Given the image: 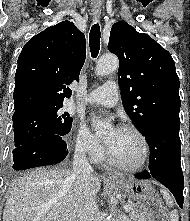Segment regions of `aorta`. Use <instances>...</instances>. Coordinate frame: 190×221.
<instances>
[{
	"label": "aorta",
	"instance_id": "obj_1",
	"mask_svg": "<svg viewBox=\"0 0 190 221\" xmlns=\"http://www.w3.org/2000/svg\"><path fill=\"white\" fill-rule=\"evenodd\" d=\"M119 67V61L118 58L114 55H106L103 56L99 59L96 68H95V73L97 75H108L114 71H116ZM93 126L95 128V131L97 134H101L103 132H105L106 129L109 128V124L108 123H103L101 121H93ZM115 198L114 197H110L108 200L109 203V207L111 212L114 215H117L118 211L116 209V205H115ZM117 221H121V219L118 218Z\"/></svg>",
	"mask_w": 190,
	"mask_h": 221
}]
</instances>
